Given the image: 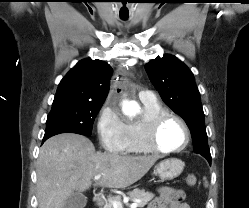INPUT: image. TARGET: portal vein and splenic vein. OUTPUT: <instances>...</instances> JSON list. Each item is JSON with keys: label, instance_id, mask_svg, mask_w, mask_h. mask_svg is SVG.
<instances>
[{"label": "portal vein and splenic vein", "instance_id": "portal-vein-and-splenic-vein-1", "mask_svg": "<svg viewBox=\"0 0 249 208\" xmlns=\"http://www.w3.org/2000/svg\"><path fill=\"white\" fill-rule=\"evenodd\" d=\"M100 178H101V175H96L94 177L95 180H99ZM112 205H113V208H123L122 203L120 201L114 200V201H112ZM137 207H138L137 203H132L130 205V208H137Z\"/></svg>", "mask_w": 249, "mask_h": 208}]
</instances>
